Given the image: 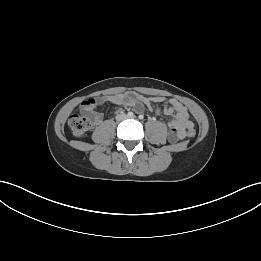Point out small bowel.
I'll use <instances>...</instances> for the list:
<instances>
[{
  "mask_svg": "<svg viewBox=\"0 0 261 261\" xmlns=\"http://www.w3.org/2000/svg\"><path fill=\"white\" fill-rule=\"evenodd\" d=\"M106 101L116 105L133 107L138 113L142 112L145 108L153 110L152 104L155 102L162 103L164 105V112L172 116L167 125L169 128V138L173 142L183 139L187 134V128L192 126L186 107L178 100L165 97H149L135 92L92 98L84 101L80 106V110L84 114H89L95 124H100L103 120V115L96 110V107ZM157 112L159 111L157 110Z\"/></svg>",
  "mask_w": 261,
  "mask_h": 261,
  "instance_id": "obj_1",
  "label": "small bowel"
}]
</instances>
